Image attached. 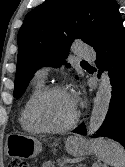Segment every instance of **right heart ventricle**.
<instances>
[{"label": "right heart ventricle", "mask_w": 125, "mask_h": 167, "mask_svg": "<svg viewBox=\"0 0 125 167\" xmlns=\"http://www.w3.org/2000/svg\"><path fill=\"white\" fill-rule=\"evenodd\" d=\"M42 81L35 80L33 88L21 107L19 113V122L22 128L30 133H39L40 131L34 126L30 118V109L39 93L44 89Z\"/></svg>", "instance_id": "obj_1"}]
</instances>
